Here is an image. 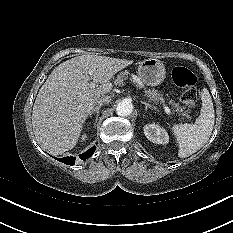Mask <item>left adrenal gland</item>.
Masks as SVG:
<instances>
[{"mask_svg": "<svg viewBox=\"0 0 233 233\" xmlns=\"http://www.w3.org/2000/svg\"><path fill=\"white\" fill-rule=\"evenodd\" d=\"M142 104L145 105V109L147 110L148 108H151V109H154V110H157V107L147 103V102H144V101H141Z\"/></svg>", "mask_w": 233, "mask_h": 233, "instance_id": "1", "label": "left adrenal gland"}]
</instances>
